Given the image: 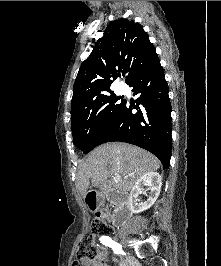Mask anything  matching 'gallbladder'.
<instances>
[{
  "mask_svg": "<svg viewBox=\"0 0 221 266\" xmlns=\"http://www.w3.org/2000/svg\"><path fill=\"white\" fill-rule=\"evenodd\" d=\"M99 188H101V189H102V185H100V186H99Z\"/></svg>",
  "mask_w": 221,
  "mask_h": 266,
  "instance_id": "bac80fb5",
  "label": "gallbladder"
}]
</instances>
